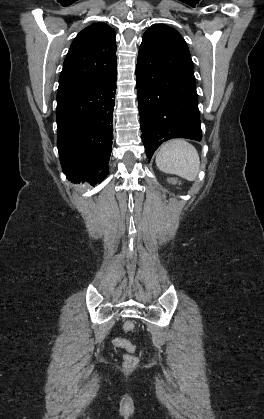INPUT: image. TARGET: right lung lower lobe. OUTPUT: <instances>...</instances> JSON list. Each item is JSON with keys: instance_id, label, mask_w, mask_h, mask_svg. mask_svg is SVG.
<instances>
[{"instance_id": "right-lung-lower-lobe-1", "label": "right lung lower lobe", "mask_w": 264, "mask_h": 419, "mask_svg": "<svg viewBox=\"0 0 264 419\" xmlns=\"http://www.w3.org/2000/svg\"><path fill=\"white\" fill-rule=\"evenodd\" d=\"M117 72L85 87L57 93V146L72 182L102 181L112 152Z\"/></svg>"}]
</instances>
